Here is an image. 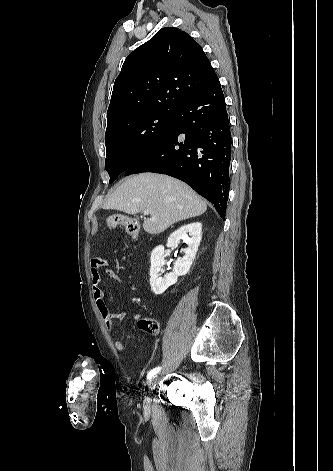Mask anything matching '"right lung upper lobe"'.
I'll list each match as a JSON object with an SVG mask.
<instances>
[{
    "label": "right lung upper lobe",
    "mask_w": 333,
    "mask_h": 471,
    "mask_svg": "<svg viewBox=\"0 0 333 471\" xmlns=\"http://www.w3.org/2000/svg\"><path fill=\"white\" fill-rule=\"evenodd\" d=\"M217 80L203 49L189 34L162 28L127 56L113 86L107 127L139 112H176Z\"/></svg>",
    "instance_id": "1"
}]
</instances>
